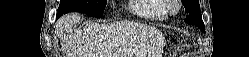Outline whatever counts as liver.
I'll return each instance as SVG.
<instances>
[{
	"mask_svg": "<svg viewBox=\"0 0 249 57\" xmlns=\"http://www.w3.org/2000/svg\"><path fill=\"white\" fill-rule=\"evenodd\" d=\"M80 19L79 14H69L62 17L58 25L63 31ZM161 39L162 34L157 29L138 23L88 22L83 29L64 35L62 43L68 57H146L155 55L154 51L161 55Z\"/></svg>",
	"mask_w": 249,
	"mask_h": 57,
	"instance_id": "liver-1",
	"label": "liver"
}]
</instances>
